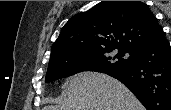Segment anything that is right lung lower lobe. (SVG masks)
Returning <instances> with one entry per match:
<instances>
[{
    "label": "right lung lower lobe",
    "instance_id": "98d812e1",
    "mask_svg": "<svg viewBox=\"0 0 171 110\" xmlns=\"http://www.w3.org/2000/svg\"><path fill=\"white\" fill-rule=\"evenodd\" d=\"M133 55L131 65L106 73L124 83L147 110H171V48L167 39Z\"/></svg>",
    "mask_w": 171,
    "mask_h": 110
}]
</instances>
